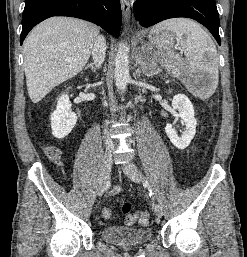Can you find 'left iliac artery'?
Wrapping results in <instances>:
<instances>
[{
  "label": "left iliac artery",
  "instance_id": "left-iliac-artery-1",
  "mask_svg": "<svg viewBox=\"0 0 247 257\" xmlns=\"http://www.w3.org/2000/svg\"><path fill=\"white\" fill-rule=\"evenodd\" d=\"M143 185L148 188L150 197H152V199H154V193L149 185V182L147 180H145Z\"/></svg>",
  "mask_w": 247,
  "mask_h": 257
}]
</instances>
